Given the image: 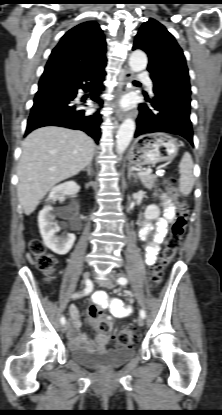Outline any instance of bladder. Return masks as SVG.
<instances>
[{"mask_svg":"<svg viewBox=\"0 0 222 415\" xmlns=\"http://www.w3.org/2000/svg\"><path fill=\"white\" fill-rule=\"evenodd\" d=\"M134 347H121L101 351L70 348V358L83 366L92 368H114L128 363L135 357Z\"/></svg>","mask_w":222,"mask_h":415,"instance_id":"1","label":"bladder"}]
</instances>
